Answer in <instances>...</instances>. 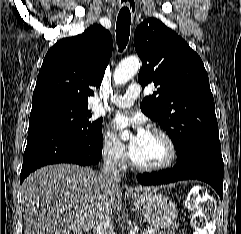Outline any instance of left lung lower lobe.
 I'll return each instance as SVG.
<instances>
[{
	"label": "left lung lower lobe",
	"instance_id": "1",
	"mask_svg": "<svg viewBox=\"0 0 241 234\" xmlns=\"http://www.w3.org/2000/svg\"><path fill=\"white\" fill-rule=\"evenodd\" d=\"M223 171L221 149L196 147L181 155L172 169L143 173L138 175L137 180L144 185H159L186 179H198L210 184L222 199Z\"/></svg>",
	"mask_w": 241,
	"mask_h": 234
}]
</instances>
